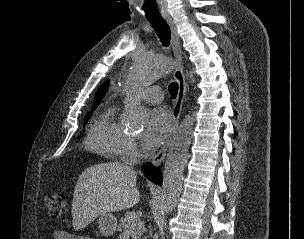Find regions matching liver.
I'll use <instances>...</instances> for the list:
<instances>
[{
  "label": "liver",
  "instance_id": "liver-1",
  "mask_svg": "<svg viewBox=\"0 0 304 239\" xmlns=\"http://www.w3.org/2000/svg\"><path fill=\"white\" fill-rule=\"evenodd\" d=\"M136 179V171L119 162L86 168L79 176L73 194L74 229H84L107 212L135 206L140 200Z\"/></svg>",
  "mask_w": 304,
  "mask_h": 239
}]
</instances>
